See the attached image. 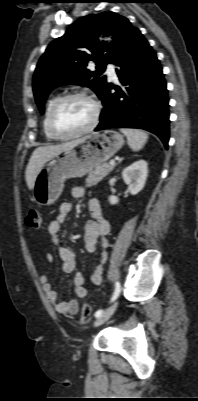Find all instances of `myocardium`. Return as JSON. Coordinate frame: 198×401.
<instances>
[{"mask_svg":"<svg viewBox=\"0 0 198 401\" xmlns=\"http://www.w3.org/2000/svg\"><path fill=\"white\" fill-rule=\"evenodd\" d=\"M76 98L85 99L93 105V108H94L93 119H92L91 123L89 124V126L84 128L83 130H80L78 132L71 133V134H61L56 131V129L53 125L54 114H55L56 110L58 109V107L62 103H64L67 100L76 99ZM100 115H101V105L95 97H93L92 95H89L85 92L68 93L63 96L58 97L51 105V107L48 111V114H47V129H48V132L50 133V135L54 139L69 140V139L77 138V137L83 136V135L93 131L99 123Z\"/></svg>","mask_w":198,"mask_h":401,"instance_id":"myocardium-1","label":"myocardium"}]
</instances>
